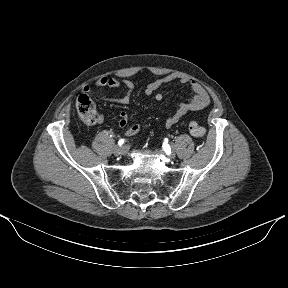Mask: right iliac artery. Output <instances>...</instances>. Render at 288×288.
<instances>
[{"instance_id":"right-iliac-artery-1","label":"right iliac artery","mask_w":288,"mask_h":288,"mask_svg":"<svg viewBox=\"0 0 288 288\" xmlns=\"http://www.w3.org/2000/svg\"><path fill=\"white\" fill-rule=\"evenodd\" d=\"M110 137L114 136L113 133H109Z\"/></svg>"}]
</instances>
